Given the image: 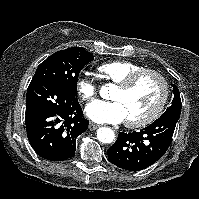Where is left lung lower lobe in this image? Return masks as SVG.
<instances>
[{"instance_id": "obj_1", "label": "left lung lower lobe", "mask_w": 199, "mask_h": 199, "mask_svg": "<svg viewBox=\"0 0 199 199\" xmlns=\"http://www.w3.org/2000/svg\"><path fill=\"white\" fill-rule=\"evenodd\" d=\"M179 118L161 116L144 129L119 132L108 150V159L119 168L140 171L158 161L167 151Z\"/></svg>"}]
</instances>
